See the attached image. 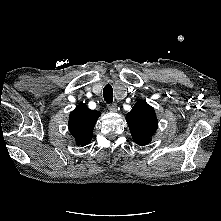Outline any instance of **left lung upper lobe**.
Returning <instances> with one entry per match:
<instances>
[{"mask_svg": "<svg viewBox=\"0 0 221 221\" xmlns=\"http://www.w3.org/2000/svg\"><path fill=\"white\" fill-rule=\"evenodd\" d=\"M128 123L133 140L141 146L148 144L158 128V121L153 107L145 101H137L127 114Z\"/></svg>", "mask_w": 221, "mask_h": 221, "instance_id": "5c2ea615", "label": "left lung upper lobe"}]
</instances>
